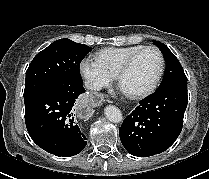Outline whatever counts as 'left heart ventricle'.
I'll return each instance as SVG.
<instances>
[{
  "label": "left heart ventricle",
  "mask_w": 209,
  "mask_h": 179,
  "mask_svg": "<svg viewBox=\"0 0 209 179\" xmlns=\"http://www.w3.org/2000/svg\"><path fill=\"white\" fill-rule=\"evenodd\" d=\"M160 67L158 54L153 50L142 53L121 81L125 93H136L146 89L154 81Z\"/></svg>",
  "instance_id": "left-heart-ventricle-1"
}]
</instances>
